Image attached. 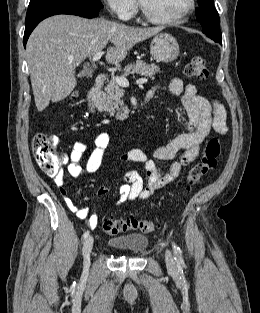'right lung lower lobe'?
<instances>
[{
	"label": "right lung lower lobe",
	"mask_w": 260,
	"mask_h": 313,
	"mask_svg": "<svg viewBox=\"0 0 260 313\" xmlns=\"http://www.w3.org/2000/svg\"><path fill=\"white\" fill-rule=\"evenodd\" d=\"M100 9L99 7L75 1L40 0L30 2L25 21L24 47L33 29L43 19L57 14L94 18L98 16Z\"/></svg>",
	"instance_id": "98d812e1"
}]
</instances>
